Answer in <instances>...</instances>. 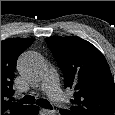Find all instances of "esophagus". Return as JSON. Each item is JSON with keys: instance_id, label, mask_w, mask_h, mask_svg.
Returning a JSON list of instances; mask_svg holds the SVG:
<instances>
[{"instance_id": "obj_1", "label": "esophagus", "mask_w": 115, "mask_h": 115, "mask_svg": "<svg viewBox=\"0 0 115 115\" xmlns=\"http://www.w3.org/2000/svg\"><path fill=\"white\" fill-rule=\"evenodd\" d=\"M40 113L43 114V115H54L55 110L41 109Z\"/></svg>"}]
</instances>
